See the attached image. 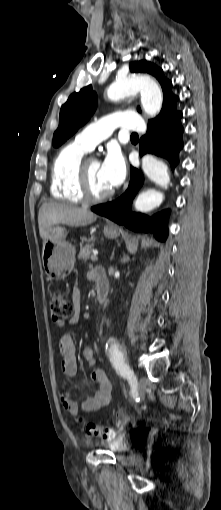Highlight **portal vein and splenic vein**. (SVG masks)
I'll return each instance as SVG.
<instances>
[{
	"label": "portal vein and splenic vein",
	"instance_id": "1",
	"mask_svg": "<svg viewBox=\"0 0 221 510\" xmlns=\"http://www.w3.org/2000/svg\"><path fill=\"white\" fill-rule=\"evenodd\" d=\"M91 260H92V261H97V260H98L97 253H94V254L91 256Z\"/></svg>",
	"mask_w": 221,
	"mask_h": 510
}]
</instances>
